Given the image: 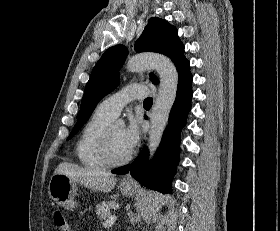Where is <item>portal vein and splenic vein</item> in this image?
Here are the masks:
<instances>
[{"label": "portal vein and splenic vein", "mask_w": 280, "mask_h": 231, "mask_svg": "<svg viewBox=\"0 0 280 231\" xmlns=\"http://www.w3.org/2000/svg\"><path fill=\"white\" fill-rule=\"evenodd\" d=\"M116 219V215H110V217L106 219L105 223H103L104 227H110V225H113V223H115Z\"/></svg>", "instance_id": "obj_1"}]
</instances>
